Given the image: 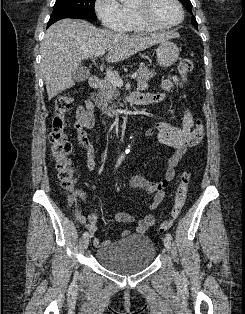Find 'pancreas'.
<instances>
[{
  "mask_svg": "<svg viewBox=\"0 0 245 314\" xmlns=\"http://www.w3.org/2000/svg\"><path fill=\"white\" fill-rule=\"evenodd\" d=\"M138 82L149 81L152 77L156 75L153 70H150L146 65H140L137 69ZM119 96L118 86L111 83L108 77H105L100 84L99 91L95 98L96 105L101 109L102 113L107 116H113L115 110L110 106L113 101Z\"/></svg>",
  "mask_w": 245,
  "mask_h": 314,
  "instance_id": "obj_1",
  "label": "pancreas"
}]
</instances>
